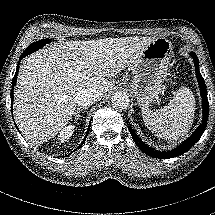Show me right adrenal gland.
I'll list each match as a JSON object with an SVG mask.
<instances>
[{"mask_svg": "<svg viewBox=\"0 0 215 215\" xmlns=\"http://www.w3.org/2000/svg\"><path fill=\"white\" fill-rule=\"evenodd\" d=\"M82 109H77L76 112H75V120H78L79 116H80V113H81Z\"/></svg>", "mask_w": 215, "mask_h": 215, "instance_id": "2a0ac1e0", "label": "right adrenal gland"}]
</instances>
